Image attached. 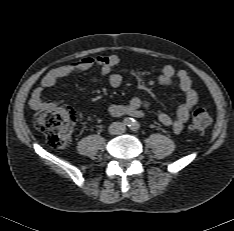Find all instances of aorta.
Wrapping results in <instances>:
<instances>
[{
  "mask_svg": "<svg viewBox=\"0 0 234 231\" xmlns=\"http://www.w3.org/2000/svg\"><path fill=\"white\" fill-rule=\"evenodd\" d=\"M130 127L133 130H137L139 128V124H138V122L133 121V122L130 123Z\"/></svg>",
  "mask_w": 234,
  "mask_h": 231,
  "instance_id": "1",
  "label": "aorta"
}]
</instances>
